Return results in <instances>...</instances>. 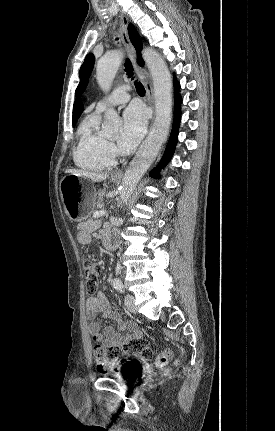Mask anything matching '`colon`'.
Masks as SVG:
<instances>
[{
    "label": "colon",
    "mask_w": 275,
    "mask_h": 431,
    "mask_svg": "<svg viewBox=\"0 0 275 431\" xmlns=\"http://www.w3.org/2000/svg\"><path fill=\"white\" fill-rule=\"evenodd\" d=\"M83 269L86 278L87 292L91 294L95 293L101 276V265L98 262L87 260L83 263ZM93 337L98 342L95 346V359L97 362V368L102 373L109 372L120 365L121 361L119 355L122 351L135 354L147 362H150L153 359L152 351L145 340H133L127 343L124 347H114L106 350L99 343L101 335L98 333ZM172 357V350L164 349L155 357L153 365L155 367L165 366L171 361Z\"/></svg>",
    "instance_id": "1"
}]
</instances>
